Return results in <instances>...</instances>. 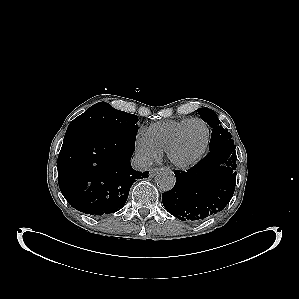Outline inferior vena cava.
Listing matches in <instances>:
<instances>
[{"instance_id":"1","label":"inferior vena cava","mask_w":299,"mask_h":299,"mask_svg":"<svg viewBox=\"0 0 299 299\" xmlns=\"http://www.w3.org/2000/svg\"><path fill=\"white\" fill-rule=\"evenodd\" d=\"M131 165L135 170L144 171L151 165V161L146 156L136 155L132 158Z\"/></svg>"}]
</instances>
